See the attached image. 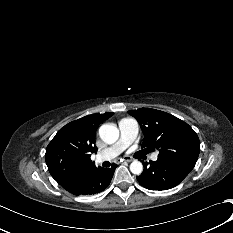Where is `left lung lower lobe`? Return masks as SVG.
Instances as JSON below:
<instances>
[{
    "label": "left lung lower lobe",
    "mask_w": 233,
    "mask_h": 233,
    "mask_svg": "<svg viewBox=\"0 0 233 233\" xmlns=\"http://www.w3.org/2000/svg\"><path fill=\"white\" fill-rule=\"evenodd\" d=\"M189 172L176 165L157 159L144 163V170L137 176L138 182L149 190H168L181 183Z\"/></svg>",
    "instance_id": "1"
}]
</instances>
